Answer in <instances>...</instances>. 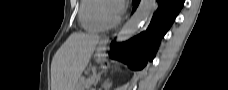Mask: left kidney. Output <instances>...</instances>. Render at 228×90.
Instances as JSON below:
<instances>
[{"label": "left kidney", "mask_w": 228, "mask_h": 90, "mask_svg": "<svg viewBox=\"0 0 228 90\" xmlns=\"http://www.w3.org/2000/svg\"><path fill=\"white\" fill-rule=\"evenodd\" d=\"M112 86V83L111 82H109V80H107V81H105L104 82V84H103V88L105 89V90H109V88Z\"/></svg>", "instance_id": "5707ae66"}]
</instances>
